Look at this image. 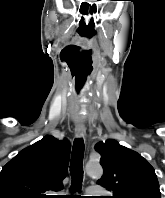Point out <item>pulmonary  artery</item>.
<instances>
[{
	"instance_id": "e3ab8cb5",
	"label": "pulmonary artery",
	"mask_w": 165,
	"mask_h": 198,
	"mask_svg": "<svg viewBox=\"0 0 165 198\" xmlns=\"http://www.w3.org/2000/svg\"><path fill=\"white\" fill-rule=\"evenodd\" d=\"M99 189H102V187H89L88 191L93 192V191H96V190H99Z\"/></svg>"
}]
</instances>
